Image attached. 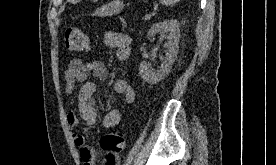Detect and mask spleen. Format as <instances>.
I'll return each mask as SVG.
<instances>
[{
  "label": "spleen",
  "instance_id": "spleen-1",
  "mask_svg": "<svg viewBox=\"0 0 276 165\" xmlns=\"http://www.w3.org/2000/svg\"><path fill=\"white\" fill-rule=\"evenodd\" d=\"M180 0H160V2L164 5H172Z\"/></svg>",
  "mask_w": 276,
  "mask_h": 165
}]
</instances>
